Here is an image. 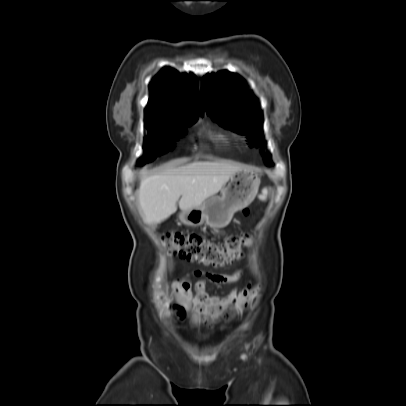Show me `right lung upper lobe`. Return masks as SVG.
<instances>
[{"label": "right lung upper lobe", "instance_id": "cb5924a9", "mask_svg": "<svg viewBox=\"0 0 406 406\" xmlns=\"http://www.w3.org/2000/svg\"><path fill=\"white\" fill-rule=\"evenodd\" d=\"M146 121L189 122L203 113L199 87L193 74L164 68L149 84Z\"/></svg>", "mask_w": 406, "mask_h": 406}]
</instances>
